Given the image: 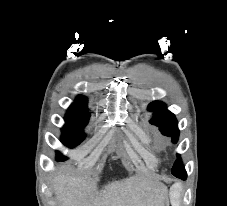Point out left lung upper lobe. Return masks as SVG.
<instances>
[{
    "mask_svg": "<svg viewBox=\"0 0 227 206\" xmlns=\"http://www.w3.org/2000/svg\"><path fill=\"white\" fill-rule=\"evenodd\" d=\"M148 110L155 112L151 123L159 126L164 135H172V142L176 143L179 136V130L177 127L178 122L174 114L167 110L164 103L159 101L150 103L148 105ZM182 171H185V169L183 167L182 160L178 155V158L172 167V174L181 173Z\"/></svg>",
    "mask_w": 227,
    "mask_h": 206,
    "instance_id": "5c2ea615",
    "label": "left lung upper lobe"
}]
</instances>
